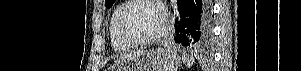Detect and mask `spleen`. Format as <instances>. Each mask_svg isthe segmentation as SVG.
Masks as SVG:
<instances>
[{"instance_id":"obj_1","label":"spleen","mask_w":301,"mask_h":71,"mask_svg":"<svg viewBox=\"0 0 301 71\" xmlns=\"http://www.w3.org/2000/svg\"><path fill=\"white\" fill-rule=\"evenodd\" d=\"M182 61L187 67L192 66L195 62L193 56H191L189 54H185V53L182 54Z\"/></svg>"}]
</instances>
